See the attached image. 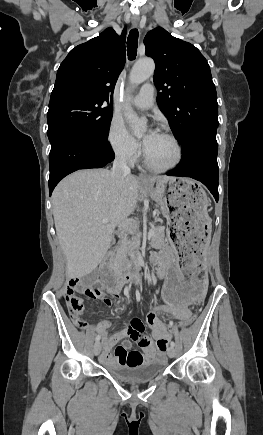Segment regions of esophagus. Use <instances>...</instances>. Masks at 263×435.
I'll return each instance as SVG.
<instances>
[{
    "label": "esophagus",
    "mask_w": 263,
    "mask_h": 435,
    "mask_svg": "<svg viewBox=\"0 0 263 435\" xmlns=\"http://www.w3.org/2000/svg\"><path fill=\"white\" fill-rule=\"evenodd\" d=\"M138 23H139V19L138 18H133L132 19L133 26L136 27L138 25ZM138 177H139L140 180H142L144 182H149L150 181V177L147 174L139 173Z\"/></svg>",
    "instance_id": "esophagus-1"
}]
</instances>
